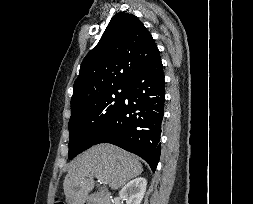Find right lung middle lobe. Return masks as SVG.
Wrapping results in <instances>:
<instances>
[{
    "label": "right lung middle lobe",
    "instance_id": "obj_1",
    "mask_svg": "<svg viewBox=\"0 0 253 204\" xmlns=\"http://www.w3.org/2000/svg\"><path fill=\"white\" fill-rule=\"evenodd\" d=\"M125 94L126 87L114 88L71 108L69 159L94 145L123 103Z\"/></svg>",
    "mask_w": 253,
    "mask_h": 204
}]
</instances>
